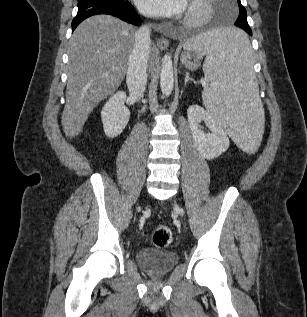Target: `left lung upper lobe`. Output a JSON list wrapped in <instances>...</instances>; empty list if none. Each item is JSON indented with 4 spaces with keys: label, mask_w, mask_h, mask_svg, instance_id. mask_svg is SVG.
Masks as SVG:
<instances>
[{
    "label": "left lung upper lobe",
    "mask_w": 307,
    "mask_h": 317,
    "mask_svg": "<svg viewBox=\"0 0 307 317\" xmlns=\"http://www.w3.org/2000/svg\"><path fill=\"white\" fill-rule=\"evenodd\" d=\"M238 7H239V16L237 21L235 22V25L237 27L243 28V27H249L247 22V12L246 9L242 6L241 1L237 0Z\"/></svg>",
    "instance_id": "5c2ea615"
}]
</instances>
